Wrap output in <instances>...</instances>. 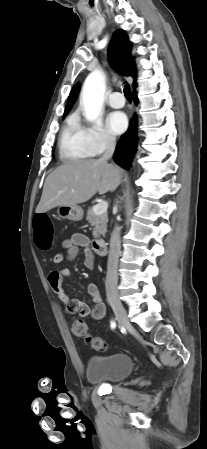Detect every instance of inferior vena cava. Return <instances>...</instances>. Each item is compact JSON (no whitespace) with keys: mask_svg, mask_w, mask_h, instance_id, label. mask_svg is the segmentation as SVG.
<instances>
[{"mask_svg":"<svg viewBox=\"0 0 207 449\" xmlns=\"http://www.w3.org/2000/svg\"><path fill=\"white\" fill-rule=\"evenodd\" d=\"M115 138L112 136H108L106 138V148L105 152L100 158L102 161H107L110 159L115 150ZM121 249L120 242V228L116 226L112 232L110 239V250L108 255V263H107V275L105 281V287L107 296L112 294L117 295V283H118V259Z\"/></svg>","mask_w":207,"mask_h":449,"instance_id":"obj_1","label":"inferior vena cava"}]
</instances>
